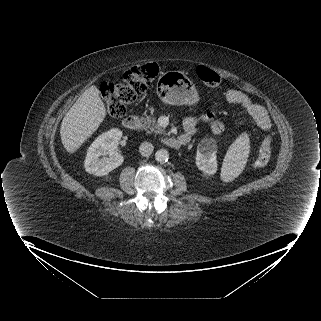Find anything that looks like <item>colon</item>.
<instances>
[{
	"label": "colon",
	"mask_w": 321,
	"mask_h": 321,
	"mask_svg": "<svg viewBox=\"0 0 321 321\" xmlns=\"http://www.w3.org/2000/svg\"><path fill=\"white\" fill-rule=\"evenodd\" d=\"M159 74L156 63H146L130 67L119 83H104L100 93L108 114L113 118L122 117L127 107L142 95ZM200 80L210 87H219L223 83L221 76L214 70L201 65L197 68ZM272 152V136L267 135L261 142L255 165L268 164Z\"/></svg>",
	"instance_id": "5ec220e1"
}]
</instances>
